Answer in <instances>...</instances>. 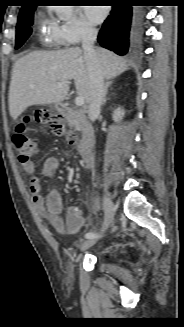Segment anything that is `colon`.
Listing matches in <instances>:
<instances>
[{
	"instance_id": "colon-1",
	"label": "colon",
	"mask_w": 184,
	"mask_h": 327,
	"mask_svg": "<svg viewBox=\"0 0 184 327\" xmlns=\"http://www.w3.org/2000/svg\"><path fill=\"white\" fill-rule=\"evenodd\" d=\"M30 121L48 125L54 135L64 137L70 143L76 142L75 134L66 127L64 115L38 110L34 115L18 124L12 137L13 148L22 164L28 163L39 151L37 140L26 133V126Z\"/></svg>"
}]
</instances>
